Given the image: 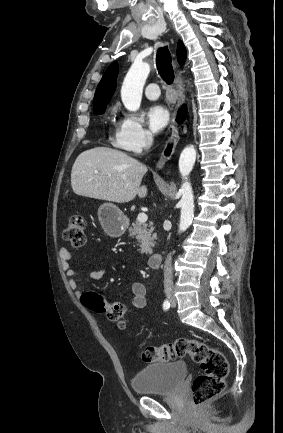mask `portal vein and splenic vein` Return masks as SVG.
<instances>
[{
    "instance_id": "obj_1",
    "label": "portal vein and splenic vein",
    "mask_w": 283,
    "mask_h": 433,
    "mask_svg": "<svg viewBox=\"0 0 283 433\" xmlns=\"http://www.w3.org/2000/svg\"><path fill=\"white\" fill-rule=\"evenodd\" d=\"M94 172H98V170H94ZM148 217L147 214H145V212H139L138 217H137V221H139V223H146Z\"/></svg>"
}]
</instances>
